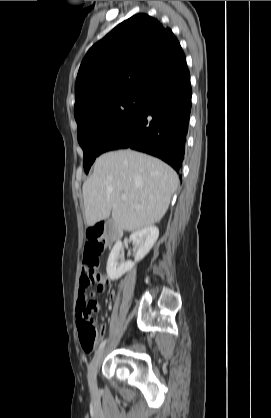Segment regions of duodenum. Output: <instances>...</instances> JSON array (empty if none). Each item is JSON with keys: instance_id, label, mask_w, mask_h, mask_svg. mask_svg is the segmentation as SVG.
Returning a JSON list of instances; mask_svg holds the SVG:
<instances>
[{"instance_id": "duodenum-1", "label": "duodenum", "mask_w": 271, "mask_h": 418, "mask_svg": "<svg viewBox=\"0 0 271 418\" xmlns=\"http://www.w3.org/2000/svg\"><path fill=\"white\" fill-rule=\"evenodd\" d=\"M119 238V234L118 233H116V234H114V235H112L111 237H110V239L111 240H116V239H118Z\"/></svg>"}]
</instances>
